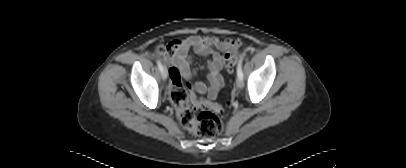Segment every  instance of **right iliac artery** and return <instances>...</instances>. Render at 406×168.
<instances>
[{
	"instance_id": "obj_1",
	"label": "right iliac artery",
	"mask_w": 406,
	"mask_h": 168,
	"mask_svg": "<svg viewBox=\"0 0 406 168\" xmlns=\"http://www.w3.org/2000/svg\"><path fill=\"white\" fill-rule=\"evenodd\" d=\"M156 62H157L159 70L162 71L163 70V65L161 64V62L159 60H157Z\"/></svg>"
}]
</instances>
